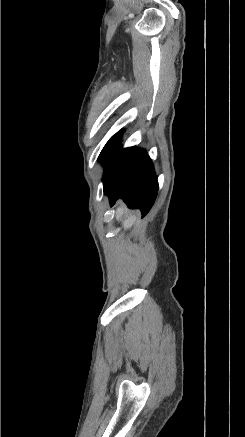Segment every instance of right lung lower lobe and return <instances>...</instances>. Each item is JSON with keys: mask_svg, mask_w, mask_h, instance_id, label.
Returning <instances> with one entry per match:
<instances>
[{"mask_svg": "<svg viewBox=\"0 0 245 437\" xmlns=\"http://www.w3.org/2000/svg\"><path fill=\"white\" fill-rule=\"evenodd\" d=\"M103 186L111 206L122 199L129 208L140 209L142 217L151 209L158 191L150 157L135 147L114 150L105 163Z\"/></svg>", "mask_w": 245, "mask_h": 437, "instance_id": "1", "label": "right lung lower lobe"}]
</instances>
